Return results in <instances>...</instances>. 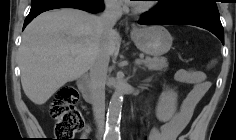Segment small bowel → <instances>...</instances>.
I'll list each match as a JSON object with an SVG mask.
<instances>
[{
  "label": "small bowel",
  "instance_id": "1",
  "mask_svg": "<svg viewBox=\"0 0 236 140\" xmlns=\"http://www.w3.org/2000/svg\"><path fill=\"white\" fill-rule=\"evenodd\" d=\"M177 81L192 85V89L184 98L178 112L160 128H153L149 140H177L179 135L190 122L196 106L210 88L206 74L203 71L186 68L176 72ZM90 127L86 126L83 136L87 137Z\"/></svg>",
  "mask_w": 236,
  "mask_h": 140
}]
</instances>
